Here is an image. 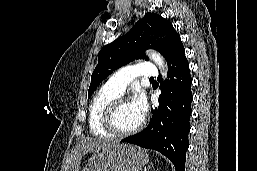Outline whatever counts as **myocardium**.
<instances>
[{
    "instance_id": "1",
    "label": "myocardium",
    "mask_w": 257,
    "mask_h": 171,
    "mask_svg": "<svg viewBox=\"0 0 257 171\" xmlns=\"http://www.w3.org/2000/svg\"><path fill=\"white\" fill-rule=\"evenodd\" d=\"M126 102H128V99L126 97L119 96L116 99L112 100L104 110L103 117H102L103 128L113 136L125 137V136L133 135L138 131H140L145 124V119L143 118L137 126H135L130 130H120L117 128L115 124L116 111L121 104Z\"/></svg>"
}]
</instances>
